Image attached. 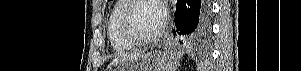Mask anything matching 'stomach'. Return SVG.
<instances>
[{"label": "stomach", "instance_id": "1", "mask_svg": "<svg viewBox=\"0 0 301 71\" xmlns=\"http://www.w3.org/2000/svg\"><path fill=\"white\" fill-rule=\"evenodd\" d=\"M178 57L172 51H152L119 62L110 71H176Z\"/></svg>", "mask_w": 301, "mask_h": 71}]
</instances>
